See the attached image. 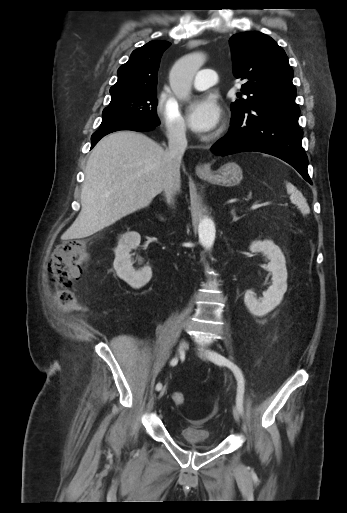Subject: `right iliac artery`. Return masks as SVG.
<instances>
[{
  "label": "right iliac artery",
  "mask_w": 347,
  "mask_h": 513,
  "mask_svg": "<svg viewBox=\"0 0 347 513\" xmlns=\"http://www.w3.org/2000/svg\"><path fill=\"white\" fill-rule=\"evenodd\" d=\"M177 363H178V358H177V357H174V358L171 360L170 365H171V366H175ZM161 388H162V384H161V383H158V384L156 385V390H157V391H159V390H161Z\"/></svg>",
  "instance_id": "82829eb1"
}]
</instances>
